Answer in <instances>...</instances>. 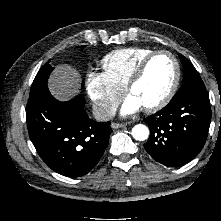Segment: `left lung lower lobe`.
<instances>
[{
	"instance_id": "0a47b994",
	"label": "left lung lower lobe",
	"mask_w": 221,
	"mask_h": 221,
	"mask_svg": "<svg viewBox=\"0 0 221 221\" xmlns=\"http://www.w3.org/2000/svg\"><path fill=\"white\" fill-rule=\"evenodd\" d=\"M144 121L150 127L145 150L166 166H182L191 161L206 142L211 122L208 93L191 92L172 99Z\"/></svg>"
}]
</instances>
